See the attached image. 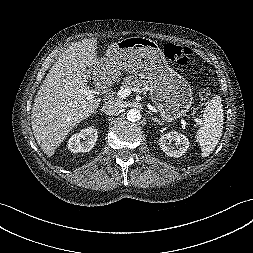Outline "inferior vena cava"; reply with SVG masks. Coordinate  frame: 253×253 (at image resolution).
I'll return each instance as SVG.
<instances>
[{
    "label": "inferior vena cava",
    "instance_id": "inferior-vena-cava-1",
    "mask_svg": "<svg viewBox=\"0 0 253 253\" xmlns=\"http://www.w3.org/2000/svg\"><path fill=\"white\" fill-rule=\"evenodd\" d=\"M122 109V103L118 100H109L105 102L102 111L106 115H116Z\"/></svg>",
    "mask_w": 253,
    "mask_h": 253
}]
</instances>
